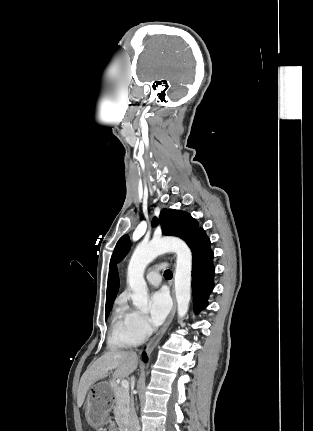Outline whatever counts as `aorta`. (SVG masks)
<instances>
[{"label":"aorta","mask_w":313,"mask_h":431,"mask_svg":"<svg viewBox=\"0 0 313 431\" xmlns=\"http://www.w3.org/2000/svg\"><path fill=\"white\" fill-rule=\"evenodd\" d=\"M175 252V294L177 312L180 318L188 312L191 299L192 254L187 244L174 237L154 239L148 244L138 245L132 254L127 270V283L132 291L131 298L135 307L142 312L148 311V289L144 279L147 265L157 256Z\"/></svg>","instance_id":"aorta-1"}]
</instances>
